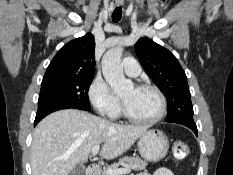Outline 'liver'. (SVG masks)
I'll return each instance as SVG.
<instances>
[{
    "label": "liver",
    "instance_id": "obj_1",
    "mask_svg": "<svg viewBox=\"0 0 233 175\" xmlns=\"http://www.w3.org/2000/svg\"><path fill=\"white\" fill-rule=\"evenodd\" d=\"M146 130V126L119 125L77 109L56 111L35 128L31 145L32 175H69L101 143L100 155L114 159Z\"/></svg>",
    "mask_w": 233,
    "mask_h": 175
}]
</instances>
